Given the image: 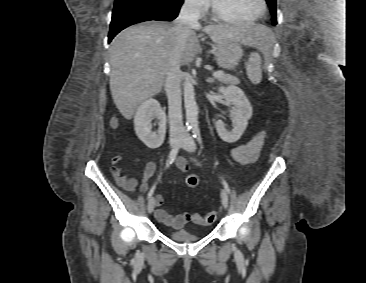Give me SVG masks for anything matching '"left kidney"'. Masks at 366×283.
<instances>
[{"mask_svg":"<svg viewBox=\"0 0 366 283\" xmlns=\"http://www.w3.org/2000/svg\"><path fill=\"white\" fill-rule=\"evenodd\" d=\"M218 92L223 95L228 104L233 105L230 115L235 125L231 131H228L224 122L218 120L215 124L216 130L223 141L233 143L239 140L246 130L248 120L252 116V106L244 92L236 86L220 87Z\"/></svg>","mask_w":366,"mask_h":283,"instance_id":"1","label":"left kidney"}]
</instances>
